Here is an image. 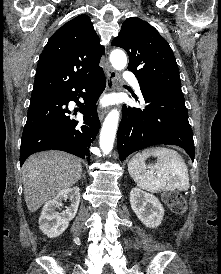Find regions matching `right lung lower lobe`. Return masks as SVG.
<instances>
[{"label":"right lung lower lobe","mask_w":221,"mask_h":274,"mask_svg":"<svg viewBox=\"0 0 221 274\" xmlns=\"http://www.w3.org/2000/svg\"><path fill=\"white\" fill-rule=\"evenodd\" d=\"M104 88L105 75L101 70L60 93L31 100L22 134L20 164L33 153L51 149L74 154L90 163L89 148L100 127L95 103ZM80 96L84 103L79 102ZM71 100L78 104L77 111L84 115L83 120L70 119Z\"/></svg>","instance_id":"obj_1"}]
</instances>
